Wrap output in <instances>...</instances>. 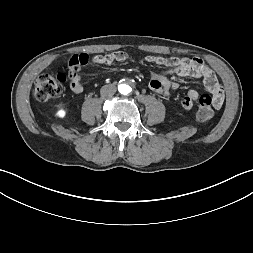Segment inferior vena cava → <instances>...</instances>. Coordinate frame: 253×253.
Returning a JSON list of instances; mask_svg holds the SVG:
<instances>
[{
    "mask_svg": "<svg viewBox=\"0 0 253 253\" xmlns=\"http://www.w3.org/2000/svg\"><path fill=\"white\" fill-rule=\"evenodd\" d=\"M116 92V86L110 84V85H105L101 88L100 93L102 96L106 97H111L115 94Z\"/></svg>",
    "mask_w": 253,
    "mask_h": 253,
    "instance_id": "inferior-vena-cava-1",
    "label": "inferior vena cava"
}]
</instances>
